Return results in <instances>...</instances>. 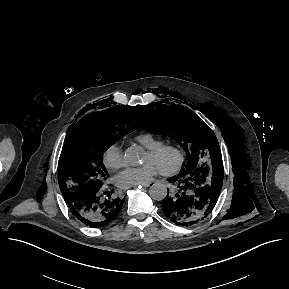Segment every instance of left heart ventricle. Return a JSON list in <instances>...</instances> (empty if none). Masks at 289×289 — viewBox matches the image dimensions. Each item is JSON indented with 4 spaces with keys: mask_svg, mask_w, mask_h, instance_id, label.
Masks as SVG:
<instances>
[{
    "mask_svg": "<svg viewBox=\"0 0 289 289\" xmlns=\"http://www.w3.org/2000/svg\"><path fill=\"white\" fill-rule=\"evenodd\" d=\"M175 160L176 156L173 152H166L160 157H154L146 152L143 158V164L151 163L160 170L171 167L175 163Z\"/></svg>",
    "mask_w": 289,
    "mask_h": 289,
    "instance_id": "obj_1",
    "label": "left heart ventricle"
}]
</instances>
